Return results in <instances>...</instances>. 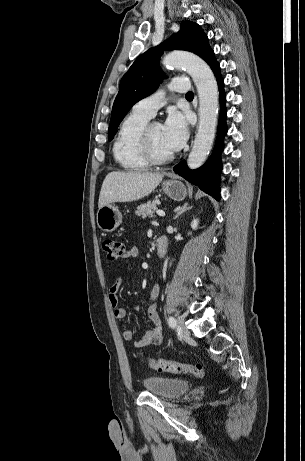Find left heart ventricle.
I'll use <instances>...</instances> for the list:
<instances>
[{
  "label": "left heart ventricle",
  "mask_w": 305,
  "mask_h": 461,
  "mask_svg": "<svg viewBox=\"0 0 305 461\" xmlns=\"http://www.w3.org/2000/svg\"><path fill=\"white\" fill-rule=\"evenodd\" d=\"M151 141L156 154L163 156L172 153L164 142L163 127L161 124L157 123L153 125L151 129Z\"/></svg>",
  "instance_id": "b2bd125f"
}]
</instances>
